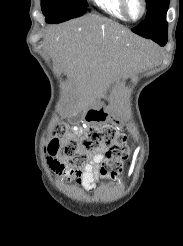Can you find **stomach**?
<instances>
[{
	"label": "stomach",
	"mask_w": 183,
	"mask_h": 246,
	"mask_svg": "<svg viewBox=\"0 0 183 246\" xmlns=\"http://www.w3.org/2000/svg\"><path fill=\"white\" fill-rule=\"evenodd\" d=\"M101 116L104 117L103 121H110L116 125H121V123H122L121 120L119 118H117L111 111L102 110Z\"/></svg>",
	"instance_id": "1"
}]
</instances>
